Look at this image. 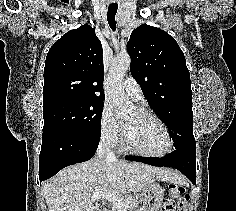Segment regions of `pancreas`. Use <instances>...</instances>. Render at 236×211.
<instances>
[{
    "mask_svg": "<svg viewBox=\"0 0 236 211\" xmlns=\"http://www.w3.org/2000/svg\"><path fill=\"white\" fill-rule=\"evenodd\" d=\"M122 199L125 203L129 204L126 211H139V202L135 197L131 195H125L122 196ZM112 211H119V209L118 207L114 206Z\"/></svg>",
    "mask_w": 236,
    "mask_h": 211,
    "instance_id": "pancreas-1",
    "label": "pancreas"
}]
</instances>
